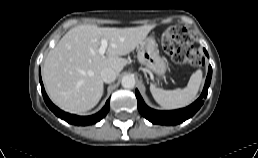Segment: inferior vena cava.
Segmentation results:
<instances>
[{
    "label": "inferior vena cava",
    "instance_id": "obj_1",
    "mask_svg": "<svg viewBox=\"0 0 258 158\" xmlns=\"http://www.w3.org/2000/svg\"><path fill=\"white\" fill-rule=\"evenodd\" d=\"M101 79L105 83H112L117 78V73L112 68H104L100 72Z\"/></svg>",
    "mask_w": 258,
    "mask_h": 158
}]
</instances>
